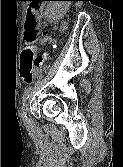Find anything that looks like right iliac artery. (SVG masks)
<instances>
[{"instance_id": "obj_1", "label": "right iliac artery", "mask_w": 123, "mask_h": 167, "mask_svg": "<svg viewBox=\"0 0 123 167\" xmlns=\"http://www.w3.org/2000/svg\"><path fill=\"white\" fill-rule=\"evenodd\" d=\"M30 92H31V87H29L28 89H26V91H25V93L23 95V101H25L27 98H29ZM23 105H24V103H23ZM22 118H23V120H27L26 114L22 113Z\"/></svg>"}]
</instances>
